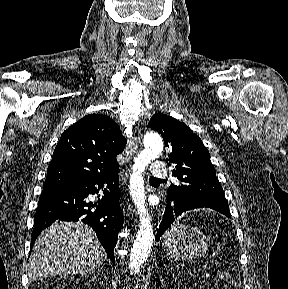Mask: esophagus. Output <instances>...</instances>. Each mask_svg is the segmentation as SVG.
I'll list each match as a JSON object with an SVG mask.
<instances>
[{"mask_svg":"<svg viewBox=\"0 0 288 289\" xmlns=\"http://www.w3.org/2000/svg\"><path fill=\"white\" fill-rule=\"evenodd\" d=\"M137 153H138V140L137 137L133 135L128 139L127 142L125 162L127 164H130L136 157ZM126 209L128 211V215L133 216L135 210L132 208L130 204L128 203L126 204Z\"/></svg>","mask_w":288,"mask_h":289,"instance_id":"obj_1","label":"esophagus"}]
</instances>
